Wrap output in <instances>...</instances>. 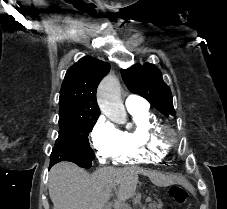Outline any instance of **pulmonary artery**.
Listing matches in <instances>:
<instances>
[{"label":"pulmonary artery","instance_id":"pulmonary-artery-1","mask_svg":"<svg viewBox=\"0 0 227 209\" xmlns=\"http://www.w3.org/2000/svg\"><path fill=\"white\" fill-rule=\"evenodd\" d=\"M125 105L127 108H132L136 105H150V100H142V95H127Z\"/></svg>","mask_w":227,"mask_h":209}]
</instances>
